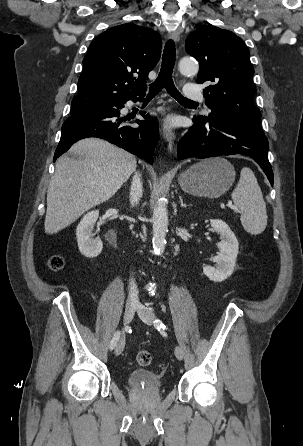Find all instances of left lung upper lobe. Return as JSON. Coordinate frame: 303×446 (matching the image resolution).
<instances>
[{"label": "left lung upper lobe", "mask_w": 303, "mask_h": 446, "mask_svg": "<svg viewBox=\"0 0 303 446\" xmlns=\"http://www.w3.org/2000/svg\"><path fill=\"white\" fill-rule=\"evenodd\" d=\"M186 51L200 63L196 82H210L204 97L211 113L194 118L207 122L215 117L264 135L261 113L253 101L254 69L243 40L228 30L202 26L188 36Z\"/></svg>", "instance_id": "5c2ea615"}]
</instances>
